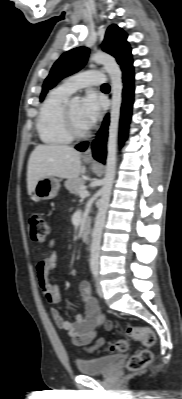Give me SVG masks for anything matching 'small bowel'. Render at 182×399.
Returning a JSON list of instances; mask_svg holds the SVG:
<instances>
[{
	"label": "small bowel",
	"mask_w": 182,
	"mask_h": 399,
	"mask_svg": "<svg viewBox=\"0 0 182 399\" xmlns=\"http://www.w3.org/2000/svg\"><path fill=\"white\" fill-rule=\"evenodd\" d=\"M52 246L53 241L48 244V247L52 248ZM58 259V253L52 251L36 265L38 285L49 304H58L60 302L59 288L49 280V274L54 270ZM78 289L84 305L83 313L75 314L72 320L64 319L56 308H52L50 314L55 325L67 331L73 344L88 350H94L104 344V339L97 337V329L101 325L111 328L112 324L101 315L97 302L91 295L89 282L81 281Z\"/></svg>",
	"instance_id": "obj_1"
}]
</instances>
